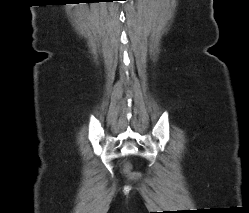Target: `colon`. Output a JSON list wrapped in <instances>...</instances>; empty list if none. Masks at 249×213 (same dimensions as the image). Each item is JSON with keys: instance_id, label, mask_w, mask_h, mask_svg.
Instances as JSON below:
<instances>
[{"instance_id": "obj_1", "label": "colon", "mask_w": 249, "mask_h": 213, "mask_svg": "<svg viewBox=\"0 0 249 213\" xmlns=\"http://www.w3.org/2000/svg\"><path fill=\"white\" fill-rule=\"evenodd\" d=\"M125 171L129 172L130 171V167L129 165H125Z\"/></svg>"}]
</instances>
